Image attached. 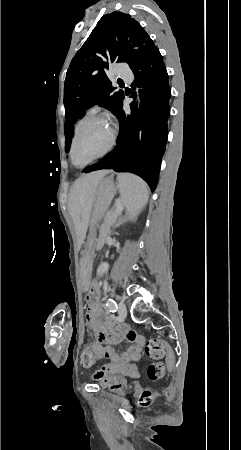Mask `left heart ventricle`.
I'll list each match as a JSON object with an SVG mask.
<instances>
[{"instance_id": "b2bd125f", "label": "left heart ventricle", "mask_w": 241, "mask_h": 450, "mask_svg": "<svg viewBox=\"0 0 241 450\" xmlns=\"http://www.w3.org/2000/svg\"><path fill=\"white\" fill-rule=\"evenodd\" d=\"M107 122L103 115L92 114L88 115L80 121V127L76 130H82L83 134L77 137H82V148L79 150L80 157L77 159L79 164L84 160H98L100 153L103 150L102 144L107 139L108 127L104 126Z\"/></svg>"}]
</instances>
